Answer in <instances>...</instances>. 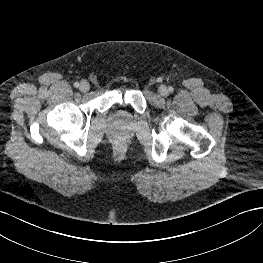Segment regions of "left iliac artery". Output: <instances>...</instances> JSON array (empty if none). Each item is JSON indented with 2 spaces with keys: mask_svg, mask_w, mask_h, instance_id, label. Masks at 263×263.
Masks as SVG:
<instances>
[{
  "mask_svg": "<svg viewBox=\"0 0 263 263\" xmlns=\"http://www.w3.org/2000/svg\"><path fill=\"white\" fill-rule=\"evenodd\" d=\"M168 91H169V92H173V91H174L173 87H169V88H168Z\"/></svg>",
  "mask_w": 263,
  "mask_h": 263,
  "instance_id": "44dca946",
  "label": "left iliac artery"
}]
</instances>
